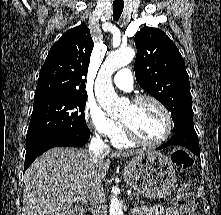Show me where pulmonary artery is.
<instances>
[{
  "instance_id": "e3ab8cb5",
  "label": "pulmonary artery",
  "mask_w": 221,
  "mask_h": 215,
  "mask_svg": "<svg viewBox=\"0 0 221 215\" xmlns=\"http://www.w3.org/2000/svg\"><path fill=\"white\" fill-rule=\"evenodd\" d=\"M114 84L122 89L131 90L133 86V77L128 68L120 69L113 78Z\"/></svg>"
}]
</instances>
